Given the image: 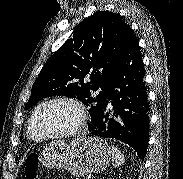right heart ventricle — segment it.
I'll return each mask as SVG.
<instances>
[{
  "label": "right heart ventricle",
  "instance_id": "obj_1",
  "mask_svg": "<svg viewBox=\"0 0 183 179\" xmlns=\"http://www.w3.org/2000/svg\"><path fill=\"white\" fill-rule=\"evenodd\" d=\"M43 104H39L33 111L29 124H28V135L32 140H41L43 139L42 135L38 132L36 127V120L39 110L41 109Z\"/></svg>",
  "mask_w": 183,
  "mask_h": 179
}]
</instances>
